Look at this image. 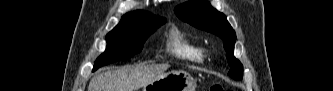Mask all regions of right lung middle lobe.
I'll use <instances>...</instances> for the list:
<instances>
[{
	"label": "right lung middle lobe",
	"instance_id": "dd1d6c3e",
	"mask_svg": "<svg viewBox=\"0 0 333 91\" xmlns=\"http://www.w3.org/2000/svg\"><path fill=\"white\" fill-rule=\"evenodd\" d=\"M165 22L166 19H154L117 25L106 35L107 48L95 61L93 71L140 53L146 39Z\"/></svg>",
	"mask_w": 333,
	"mask_h": 91
}]
</instances>
